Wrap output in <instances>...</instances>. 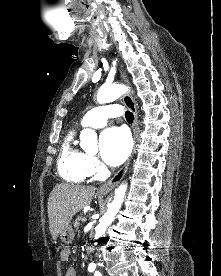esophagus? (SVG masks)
<instances>
[{
    "mask_svg": "<svg viewBox=\"0 0 221 276\" xmlns=\"http://www.w3.org/2000/svg\"><path fill=\"white\" fill-rule=\"evenodd\" d=\"M120 75H121L122 81L126 85H128L129 81H128L127 75L122 67L120 68ZM123 100H124L125 105L131 110V112L134 115L133 137H134L135 146H134L132 154L130 155V157L126 161V163L123 165V167L110 180H108L105 184H103L100 187V189H99L100 193H108L119 184V182L122 180V178L124 177V175L126 174V172L128 170L130 161L135 153V149L137 146V125H138L137 108H136L135 102H134L131 94H129V93L125 94Z\"/></svg>",
    "mask_w": 221,
    "mask_h": 276,
    "instance_id": "esophagus-1",
    "label": "esophagus"
}]
</instances>
